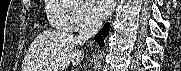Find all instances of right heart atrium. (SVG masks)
I'll return each mask as SVG.
<instances>
[{"label": "right heart atrium", "mask_w": 181, "mask_h": 71, "mask_svg": "<svg viewBox=\"0 0 181 71\" xmlns=\"http://www.w3.org/2000/svg\"><path fill=\"white\" fill-rule=\"evenodd\" d=\"M65 6V23L67 30L78 31L88 29L98 23L83 0H56Z\"/></svg>", "instance_id": "obj_1"}]
</instances>
